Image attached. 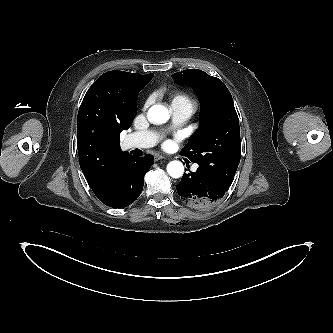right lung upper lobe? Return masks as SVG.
<instances>
[{
	"mask_svg": "<svg viewBox=\"0 0 333 333\" xmlns=\"http://www.w3.org/2000/svg\"><path fill=\"white\" fill-rule=\"evenodd\" d=\"M153 76L106 72L93 83L81 103L77 121L79 163L97 197L110 190L121 162L129 155L120 148V133L131 126L138 94Z\"/></svg>",
	"mask_w": 333,
	"mask_h": 333,
	"instance_id": "obj_1",
	"label": "right lung upper lobe"
}]
</instances>
